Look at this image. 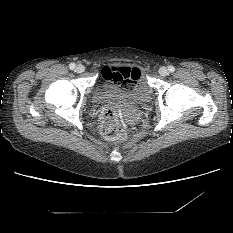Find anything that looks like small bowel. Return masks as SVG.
Segmentation results:
<instances>
[{
    "mask_svg": "<svg viewBox=\"0 0 233 233\" xmlns=\"http://www.w3.org/2000/svg\"><path fill=\"white\" fill-rule=\"evenodd\" d=\"M121 67H115V66H106L102 70L103 75H108L110 77H113L116 79L115 72L120 69Z\"/></svg>",
    "mask_w": 233,
    "mask_h": 233,
    "instance_id": "c3829d8e",
    "label": "small bowel"
}]
</instances>
